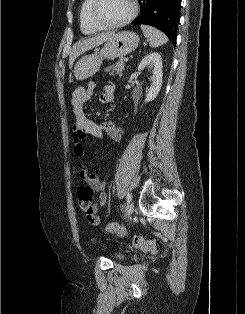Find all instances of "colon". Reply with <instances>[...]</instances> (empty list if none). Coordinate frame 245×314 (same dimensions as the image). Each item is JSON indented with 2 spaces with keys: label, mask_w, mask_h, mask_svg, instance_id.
<instances>
[{
  "label": "colon",
  "mask_w": 245,
  "mask_h": 314,
  "mask_svg": "<svg viewBox=\"0 0 245 314\" xmlns=\"http://www.w3.org/2000/svg\"><path fill=\"white\" fill-rule=\"evenodd\" d=\"M93 197L94 189L91 186L82 185L77 190V198L80 209L86 214H90L93 211ZM104 230L109 233H115L119 236H123L125 233L124 228L118 223H108ZM133 245L144 251H148L152 254L157 253V246L151 242L142 239L141 237H135L133 239Z\"/></svg>",
  "instance_id": "1"
}]
</instances>
